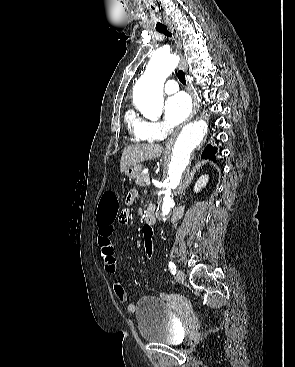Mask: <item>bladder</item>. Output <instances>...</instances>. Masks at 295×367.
Here are the masks:
<instances>
[{"mask_svg": "<svg viewBox=\"0 0 295 367\" xmlns=\"http://www.w3.org/2000/svg\"><path fill=\"white\" fill-rule=\"evenodd\" d=\"M141 338L150 343L176 345L181 330L168 305L156 297H143L135 311Z\"/></svg>", "mask_w": 295, "mask_h": 367, "instance_id": "bladder-1", "label": "bladder"}]
</instances>
